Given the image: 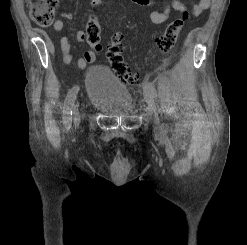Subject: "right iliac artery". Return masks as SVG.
I'll return each instance as SVG.
<instances>
[{"label":"right iliac artery","instance_id":"82829eb1","mask_svg":"<svg viewBox=\"0 0 247 245\" xmlns=\"http://www.w3.org/2000/svg\"><path fill=\"white\" fill-rule=\"evenodd\" d=\"M79 91L78 86L71 88L65 98L64 107H63V122L67 128L70 127L72 122V108Z\"/></svg>","mask_w":247,"mask_h":245}]
</instances>
